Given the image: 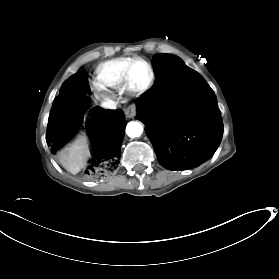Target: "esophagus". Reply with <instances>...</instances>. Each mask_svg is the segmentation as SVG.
I'll use <instances>...</instances> for the list:
<instances>
[{"label": "esophagus", "mask_w": 279, "mask_h": 279, "mask_svg": "<svg viewBox=\"0 0 279 279\" xmlns=\"http://www.w3.org/2000/svg\"><path fill=\"white\" fill-rule=\"evenodd\" d=\"M124 112L128 118H133L136 115V106L135 104L129 105L124 109Z\"/></svg>", "instance_id": "obj_1"}]
</instances>
